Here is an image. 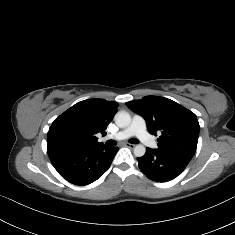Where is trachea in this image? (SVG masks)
Listing matches in <instances>:
<instances>
[{
	"label": "trachea",
	"mask_w": 235,
	"mask_h": 235,
	"mask_svg": "<svg viewBox=\"0 0 235 235\" xmlns=\"http://www.w3.org/2000/svg\"><path fill=\"white\" fill-rule=\"evenodd\" d=\"M129 142L132 143V144H137L139 142V140L138 139H130ZM106 145L107 146H115L116 142L113 141V140H109V141L106 142Z\"/></svg>",
	"instance_id": "trachea-1"
}]
</instances>
